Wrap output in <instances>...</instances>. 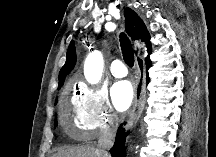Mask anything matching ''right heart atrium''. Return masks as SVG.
<instances>
[{"label": "right heart atrium", "mask_w": 216, "mask_h": 157, "mask_svg": "<svg viewBox=\"0 0 216 157\" xmlns=\"http://www.w3.org/2000/svg\"><path fill=\"white\" fill-rule=\"evenodd\" d=\"M73 127L77 135L91 137L111 131L117 116L102 89L82 85L73 102Z\"/></svg>", "instance_id": "obj_1"}]
</instances>
